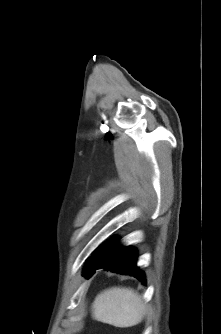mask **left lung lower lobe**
Here are the masks:
<instances>
[{
    "instance_id": "0a47b994",
    "label": "left lung lower lobe",
    "mask_w": 221,
    "mask_h": 334,
    "mask_svg": "<svg viewBox=\"0 0 221 334\" xmlns=\"http://www.w3.org/2000/svg\"><path fill=\"white\" fill-rule=\"evenodd\" d=\"M110 270L125 275H131L142 283H146L145 275L136 267V252L129 247H121L111 240L97 250L93 262L86 267L84 276L90 278L96 269Z\"/></svg>"
}]
</instances>
